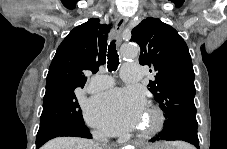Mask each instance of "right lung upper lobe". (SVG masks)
<instances>
[{
  "label": "right lung upper lobe",
  "instance_id": "1",
  "mask_svg": "<svg viewBox=\"0 0 227 149\" xmlns=\"http://www.w3.org/2000/svg\"><path fill=\"white\" fill-rule=\"evenodd\" d=\"M110 25L89 19L75 27L59 45L47 74L46 90L55 87H83L86 71L96 73L106 62ZM105 34V35H103Z\"/></svg>",
  "mask_w": 227,
  "mask_h": 149
}]
</instances>
